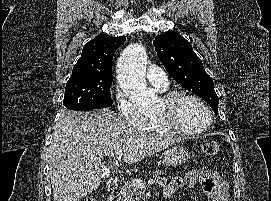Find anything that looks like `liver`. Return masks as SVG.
<instances>
[{
    "mask_svg": "<svg viewBox=\"0 0 271 201\" xmlns=\"http://www.w3.org/2000/svg\"><path fill=\"white\" fill-rule=\"evenodd\" d=\"M175 143L135 129L107 108L92 112L64 110L49 147L54 201H80L98 189L103 177L101 161L118 147L124 150L126 163H136Z\"/></svg>",
    "mask_w": 271,
    "mask_h": 201,
    "instance_id": "1",
    "label": "liver"
}]
</instances>
